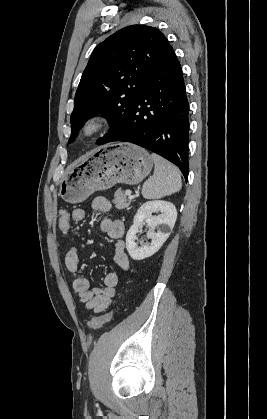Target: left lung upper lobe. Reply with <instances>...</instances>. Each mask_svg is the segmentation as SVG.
Here are the masks:
<instances>
[{
  "label": "left lung upper lobe",
  "mask_w": 267,
  "mask_h": 419,
  "mask_svg": "<svg viewBox=\"0 0 267 419\" xmlns=\"http://www.w3.org/2000/svg\"><path fill=\"white\" fill-rule=\"evenodd\" d=\"M169 47L163 33L145 25L120 29L98 44L76 91L69 142L95 114L105 113L110 126L121 122L146 89L147 78Z\"/></svg>",
  "instance_id": "left-lung-upper-lobe-1"
}]
</instances>
